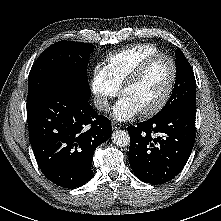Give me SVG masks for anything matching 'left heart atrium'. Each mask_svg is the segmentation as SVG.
Wrapping results in <instances>:
<instances>
[{
    "label": "left heart atrium",
    "mask_w": 221,
    "mask_h": 221,
    "mask_svg": "<svg viewBox=\"0 0 221 221\" xmlns=\"http://www.w3.org/2000/svg\"><path fill=\"white\" fill-rule=\"evenodd\" d=\"M140 112L139 108L122 95L113 107L112 115L118 120H128Z\"/></svg>",
    "instance_id": "left-heart-atrium-1"
}]
</instances>
